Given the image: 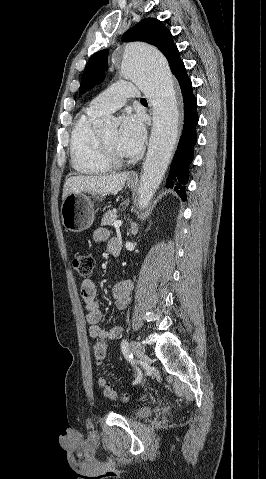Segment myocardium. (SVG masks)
Masks as SVG:
<instances>
[{
    "label": "myocardium",
    "instance_id": "obj_1",
    "mask_svg": "<svg viewBox=\"0 0 266 479\" xmlns=\"http://www.w3.org/2000/svg\"><path fill=\"white\" fill-rule=\"evenodd\" d=\"M99 145L101 149V153L105 161L111 165L113 168H118L124 165L127 160L124 157L118 156L107 144L104 138L99 135L98 136Z\"/></svg>",
    "mask_w": 266,
    "mask_h": 479
}]
</instances>
